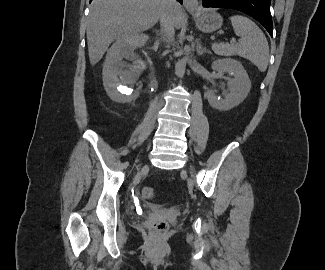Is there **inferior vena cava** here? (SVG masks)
<instances>
[{"instance_id": "inferior-vena-cava-1", "label": "inferior vena cava", "mask_w": 325, "mask_h": 270, "mask_svg": "<svg viewBox=\"0 0 325 270\" xmlns=\"http://www.w3.org/2000/svg\"><path fill=\"white\" fill-rule=\"evenodd\" d=\"M163 8L160 14V23L162 26V33L164 38L168 41L174 40V21L172 18V14L170 8L172 5L176 3L175 0H163Z\"/></svg>"}]
</instances>
